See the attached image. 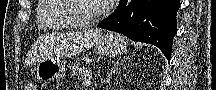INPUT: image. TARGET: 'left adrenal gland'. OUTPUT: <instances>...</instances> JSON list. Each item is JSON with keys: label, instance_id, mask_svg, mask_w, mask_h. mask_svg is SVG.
Returning <instances> with one entry per match:
<instances>
[{"label": "left adrenal gland", "instance_id": "obj_1", "mask_svg": "<svg viewBox=\"0 0 216 90\" xmlns=\"http://www.w3.org/2000/svg\"><path fill=\"white\" fill-rule=\"evenodd\" d=\"M127 60H129V58H124V60H122V64H124V62H127ZM113 66L114 68H112L110 74H108V78H107L108 84L110 82V76H112V74H114V72L118 70L119 66H121V64H119V60H117V62H114Z\"/></svg>", "mask_w": 216, "mask_h": 90}]
</instances>
